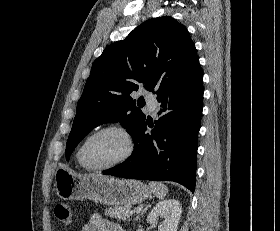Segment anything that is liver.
<instances>
[{
    "instance_id": "liver-1",
    "label": "liver",
    "mask_w": 280,
    "mask_h": 231,
    "mask_svg": "<svg viewBox=\"0 0 280 231\" xmlns=\"http://www.w3.org/2000/svg\"><path fill=\"white\" fill-rule=\"evenodd\" d=\"M91 177H98V175H95V173H90Z\"/></svg>"
}]
</instances>
